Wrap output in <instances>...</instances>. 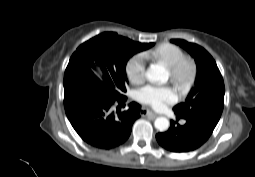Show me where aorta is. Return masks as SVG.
Segmentation results:
<instances>
[{
    "mask_svg": "<svg viewBox=\"0 0 255 177\" xmlns=\"http://www.w3.org/2000/svg\"><path fill=\"white\" fill-rule=\"evenodd\" d=\"M146 77L150 81H162L165 82L168 80V72L165 70L164 67L160 65H152L146 72ZM154 126L157 130L163 132L166 131L169 126V120L166 117H158L155 122Z\"/></svg>",
    "mask_w": 255,
    "mask_h": 177,
    "instance_id": "1",
    "label": "aorta"
}]
</instances>
